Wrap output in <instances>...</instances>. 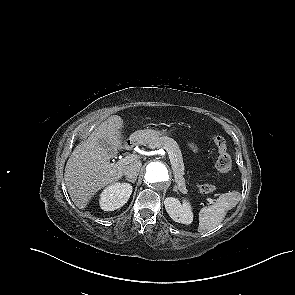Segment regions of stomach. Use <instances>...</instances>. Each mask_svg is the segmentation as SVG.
I'll return each instance as SVG.
<instances>
[{
	"label": "stomach",
	"instance_id": "stomach-1",
	"mask_svg": "<svg viewBox=\"0 0 295 295\" xmlns=\"http://www.w3.org/2000/svg\"><path fill=\"white\" fill-rule=\"evenodd\" d=\"M165 134H167L166 131L145 129L134 132L130 139L140 144H148Z\"/></svg>",
	"mask_w": 295,
	"mask_h": 295
}]
</instances>
